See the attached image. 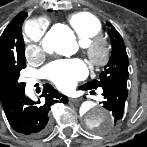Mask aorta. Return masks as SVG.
Returning <instances> with one entry per match:
<instances>
[{
	"instance_id": "aorta-1",
	"label": "aorta",
	"mask_w": 147,
	"mask_h": 147,
	"mask_svg": "<svg viewBox=\"0 0 147 147\" xmlns=\"http://www.w3.org/2000/svg\"><path fill=\"white\" fill-rule=\"evenodd\" d=\"M42 46L49 54L58 53L64 56H70L78 49L74 34L65 27L50 30L44 37ZM80 114L85 124L94 130H108L113 125L112 114L99 105L84 102L80 106Z\"/></svg>"
}]
</instances>
